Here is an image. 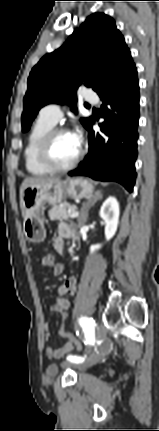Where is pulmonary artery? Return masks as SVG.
<instances>
[{"label": "pulmonary artery", "mask_w": 159, "mask_h": 431, "mask_svg": "<svg viewBox=\"0 0 159 431\" xmlns=\"http://www.w3.org/2000/svg\"><path fill=\"white\" fill-rule=\"evenodd\" d=\"M83 98L91 103H97V95L90 89H84L82 92ZM40 115L56 124L62 117L63 113L58 104H49L42 108Z\"/></svg>", "instance_id": "1"}]
</instances>
